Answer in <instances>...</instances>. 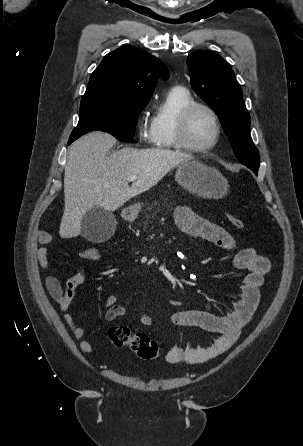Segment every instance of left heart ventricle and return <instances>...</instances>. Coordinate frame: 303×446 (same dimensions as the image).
<instances>
[{
    "mask_svg": "<svg viewBox=\"0 0 303 446\" xmlns=\"http://www.w3.org/2000/svg\"><path fill=\"white\" fill-rule=\"evenodd\" d=\"M215 135V127L211 116L203 109L195 110L188 121L187 137L195 146L210 144Z\"/></svg>",
    "mask_w": 303,
    "mask_h": 446,
    "instance_id": "obj_1",
    "label": "left heart ventricle"
}]
</instances>
